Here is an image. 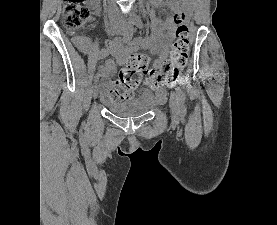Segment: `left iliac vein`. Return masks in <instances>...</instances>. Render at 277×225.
Segmentation results:
<instances>
[{
    "mask_svg": "<svg viewBox=\"0 0 277 225\" xmlns=\"http://www.w3.org/2000/svg\"><path fill=\"white\" fill-rule=\"evenodd\" d=\"M170 109L174 116L179 115L181 107H180L178 94L175 92H171V95H170Z\"/></svg>",
    "mask_w": 277,
    "mask_h": 225,
    "instance_id": "1",
    "label": "left iliac vein"
}]
</instances>
